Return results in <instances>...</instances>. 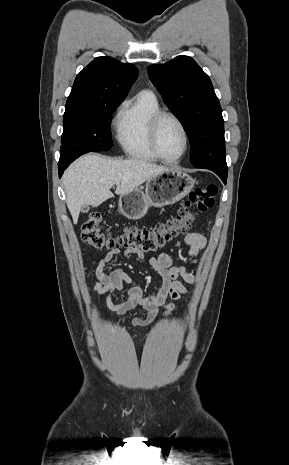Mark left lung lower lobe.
Instances as JSON below:
<instances>
[{"mask_svg":"<svg viewBox=\"0 0 289 465\" xmlns=\"http://www.w3.org/2000/svg\"><path fill=\"white\" fill-rule=\"evenodd\" d=\"M213 172H215L220 178L221 180L223 181L224 184H226V180H227V172L228 171H219V170H215V169H209Z\"/></svg>","mask_w":289,"mask_h":465,"instance_id":"0a47b994","label":"left lung lower lobe"}]
</instances>
